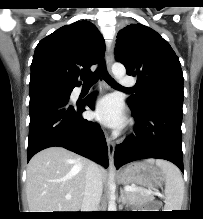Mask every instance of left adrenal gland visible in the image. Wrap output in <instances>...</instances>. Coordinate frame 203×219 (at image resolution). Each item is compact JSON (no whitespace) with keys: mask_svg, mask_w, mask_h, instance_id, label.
Masks as SVG:
<instances>
[{"mask_svg":"<svg viewBox=\"0 0 203 219\" xmlns=\"http://www.w3.org/2000/svg\"><path fill=\"white\" fill-rule=\"evenodd\" d=\"M119 202H122V205H120V207H122V206L125 205V204L128 205L125 192L123 191L122 188H120V199H119Z\"/></svg>","mask_w":203,"mask_h":219,"instance_id":"a2214340","label":"left adrenal gland"}]
</instances>
